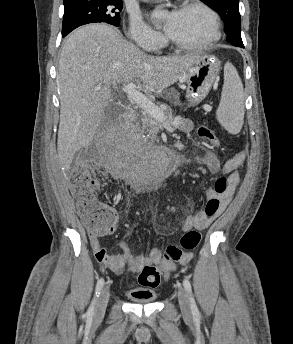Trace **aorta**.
<instances>
[{
  "label": "aorta",
  "instance_id": "aorta-1",
  "mask_svg": "<svg viewBox=\"0 0 293 344\" xmlns=\"http://www.w3.org/2000/svg\"><path fill=\"white\" fill-rule=\"evenodd\" d=\"M164 14L163 11H154L152 16L155 18H160ZM151 167L155 172L165 173L170 167V160L164 152L154 153L151 158Z\"/></svg>",
  "mask_w": 293,
  "mask_h": 344
}]
</instances>
